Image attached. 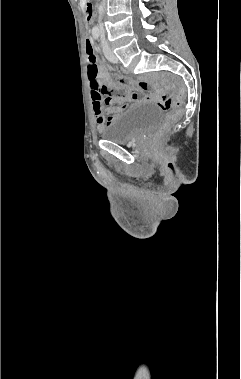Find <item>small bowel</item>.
Listing matches in <instances>:
<instances>
[{
	"instance_id": "1",
	"label": "small bowel",
	"mask_w": 241,
	"mask_h": 379,
	"mask_svg": "<svg viewBox=\"0 0 241 379\" xmlns=\"http://www.w3.org/2000/svg\"><path fill=\"white\" fill-rule=\"evenodd\" d=\"M91 43L92 41L88 39ZM97 78L102 85L100 87L106 89L108 93L95 91L91 89L92 107L94 111V118L98 129L104 128L109 124L120 112L128 108V104L131 102L145 101L154 102L157 96L154 94H148L143 98L140 97V93L147 90L148 83L144 80L138 82L129 81V87L117 86V84L111 81L108 73L104 68H100ZM116 87V89L109 91L106 85Z\"/></svg>"
}]
</instances>
